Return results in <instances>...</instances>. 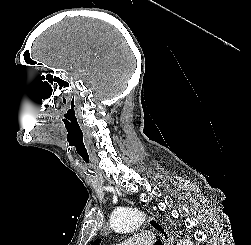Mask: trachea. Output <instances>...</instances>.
<instances>
[{
  "instance_id": "1",
  "label": "trachea",
  "mask_w": 251,
  "mask_h": 245,
  "mask_svg": "<svg viewBox=\"0 0 251 245\" xmlns=\"http://www.w3.org/2000/svg\"><path fill=\"white\" fill-rule=\"evenodd\" d=\"M155 245H162V243H161L160 240H158V241L155 243Z\"/></svg>"
}]
</instances>
